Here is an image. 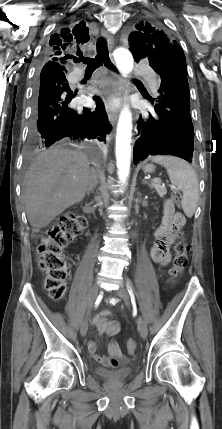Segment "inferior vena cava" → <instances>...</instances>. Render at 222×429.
I'll use <instances>...</instances> for the list:
<instances>
[{"label":"inferior vena cava","mask_w":222,"mask_h":429,"mask_svg":"<svg viewBox=\"0 0 222 429\" xmlns=\"http://www.w3.org/2000/svg\"><path fill=\"white\" fill-rule=\"evenodd\" d=\"M93 181L97 182V174L95 171H93Z\"/></svg>","instance_id":"inferior-vena-cava-1"}]
</instances>
